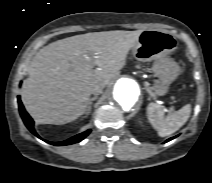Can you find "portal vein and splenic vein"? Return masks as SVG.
Masks as SVG:
<instances>
[{"instance_id":"obj_1","label":"portal vein and splenic vein","mask_w":212,"mask_h":183,"mask_svg":"<svg viewBox=\"0 0 212 183\" xmlns=\"http://www.w3.org/2000/svg\"><path fill=\"white\" fill-rule=\"evenodd\" d=\"M86 58H87L88 60H92V58H97V56H96V53H95V55H94V56H92V57H90V56H86Z\"/></svg>"}]
</instances>
